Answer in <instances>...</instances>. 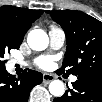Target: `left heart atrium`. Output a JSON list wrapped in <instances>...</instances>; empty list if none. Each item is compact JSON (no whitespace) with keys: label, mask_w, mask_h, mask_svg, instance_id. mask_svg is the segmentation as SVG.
Returning a JSON list of instances; mask_svg holds the SVG:
<instances>
[{"label":"left heart atrium","mask_w":102,"mask_h":102,"mask_svg":"<svg viewBox=\"0 0 102 102\" xmlns=\"http://www.w3.org/2000/svg\"><path fill=\"white\" fill-rule=\"evenodd\" d=\"M36 64L42 69H47L52 64V59L49 57H43L36 60Z\"/></svg>","instance_id":"left-heart-atrium-1"}]
</instances>
